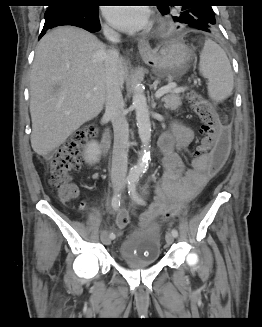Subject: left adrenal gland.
I'll use <instances>...</instances> for the list:
<instances>
[{
    "label": "left adrenal gland",
    "mask_w": 262,
    "mask_h": 327,
    "mask_svg": "<svg viewBox=\"0 0 262 327\" xmlns=\"http://www.w3.org/2000/svg\"><path fill=\"white\" fill-rule=\"evenodd\" d=\"M156 103L154 102L153 96H152V107L155 108Z\"/></svg>",
    "instance_id": "obj_1"
}]
</instances>
